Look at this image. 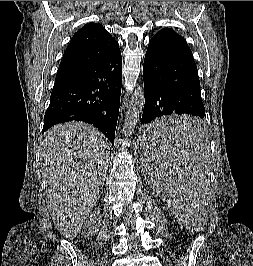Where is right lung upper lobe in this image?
Listing matches in <instances>:
<instances>
[{
  "mask_svg": "<svg viewBox=\"0 0 253 266\" xmlns=\"http://www.w3.org/2000/svg\"><path fill=\"white\" fill-rule=\"evenodd\" d=\"M119 50L118 42L101 24H86L70 41L59 65L56 79L104 61Z\"/></svg>",
  "mask_w": 253,
  "mask_h": 266,
  "instance_id": "obj_1",
  "label": "right lung upper lobe"
}]
</instances>
